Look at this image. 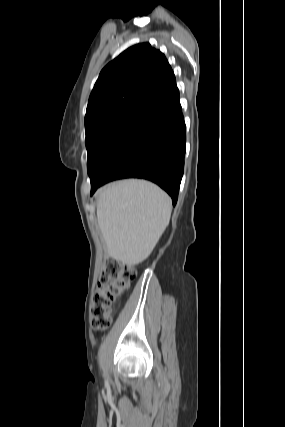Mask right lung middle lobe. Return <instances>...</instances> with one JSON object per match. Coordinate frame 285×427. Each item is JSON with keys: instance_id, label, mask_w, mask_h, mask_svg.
<instances>
[{"instance_id": "obj_1", "label": "right lung middle lobe", "mask_w": 285, "mask_h": 427, "mask_svg": "<svg viewBox=\"0 0 285 427\" xmlns=\"http://www.w3.org/2000/svg\"><path fill=\"white\" fill-rule=\"evenodd\" d=\"M142 112L143 110L138 108L122 109L96 118L85 125L90 180Z\"/></svg>"}]
</instances>
